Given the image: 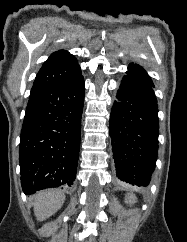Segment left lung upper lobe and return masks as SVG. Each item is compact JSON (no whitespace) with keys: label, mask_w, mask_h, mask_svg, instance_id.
I'll return each instance as SVG.
<instances>
[{"label":"left lung upper lobe","mask_w":187,"mask_h":242,"mask_svg":"<svg viewBox=\"0 0 187 242\" xmlns=\"http://www.w3.org/2000/svg\"><path fill=\"white\" fill-rule=\"evenodd\" d=\"M127 75L138 78L149 85L154 86L150 76L147 74V72L139 65L130 63L128 67V71L126 72Z\"/></svg>","instance_id":"5c2ea615"}]
</instances>
